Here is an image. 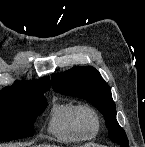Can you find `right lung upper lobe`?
Returning <instances> with one entry per match:
<instances>
[{
	"instance_id": "obj_1",
	"label": "right lung upper lobe",
	"mask_w": 145,
	"mask_h": 147,
	"mask_svg": "<svg viewBox=\"0 0 145 147\" xmlns=\"http://www.w3.org/2000/svg\"><path fill=\"white\" fill-rule=\"evenodd\" d=\"M29 89H50L49 77L41 78L40 80L16 81L14 85L5 87L0 91V95H5L12 92H18Z\"/></svg>"
}]
</instances>
